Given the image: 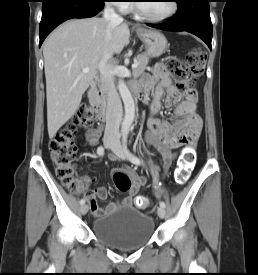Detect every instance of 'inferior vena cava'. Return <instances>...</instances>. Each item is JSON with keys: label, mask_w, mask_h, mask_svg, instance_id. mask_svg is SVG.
<instances>
[{"label": "inferior vena cava", "mask_w": 258, "mask_h": 275, "mask_svg": "<svg viewBox=\"0 0 258 275\" xmlns=\"http://www.w3.org/2000/svg\"><path fill=\"white\" fill-rule=\"evenodd\" d=\"M103 18L108 23L107 40L111 36L112 24H118L123 22V18L118 15L114 8L107 4L104 8ZM113 53L110 49H106L101 62L98 66L102 86L107 94V108H106V128L105 136H119V127L122 120V104L114 86L112 75L110 74L108 60L112 58Z\"/></svg>", "instance_id": "1"}]
</instances>
